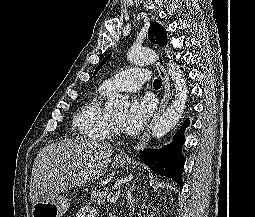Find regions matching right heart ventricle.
<instances>
[{
  "label": "right heart ventricle",
  "instance_id": "right-heart-ventricle-1",
  "mask_svg": "<svg viewBox=\"0 0 255 217\" xmlns=\"http://www.w3.org/2000/svg\"><path fill=\"white\" fill-rule=\"evenodd\" d=\"M109 94L102 86L98 87L75 115L73 125L84 138L104 141L111 137L110 115L103 107Z\"/></svg>",
  "mask_w": 255,
  "mask_h": 217
}]
</instances>
